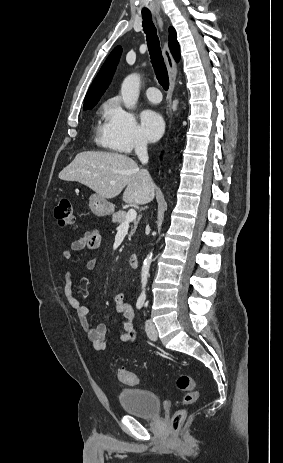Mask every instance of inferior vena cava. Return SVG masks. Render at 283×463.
<instances>
[{
    "instance_id": "1",
    "label": "inferior vena cava",
    "mask_w": 283,
    "mask_h": 463,
    "mask_svg": "<svg viewBox=\"0 0 283 463\" xmlns=\"http://www.w3.org/2000/svg\"><path fill=\"white\" fill-rule=\"evenodd\" d=\"M135 153L138 156L139 160L141 161L142 164H146L148 162V152H147V141L142 138H138L135 141ZM147 172V178L152 181L148 171Z\"/></svg>"
}]
</instances>
